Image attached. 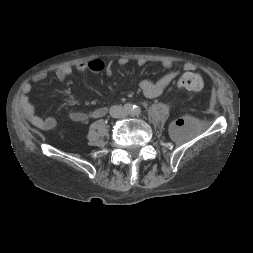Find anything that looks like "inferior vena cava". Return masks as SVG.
Returning a JSON list of instances; mask_svg holds the SVG:
<instances>
[{"mask_svg": "<svg viewBox=\"0 0 253 253\" xmlns=\"http://www.w3.org/2000/svg\"><path fill=\"white\" fill-rule=\"evenodd\" d=\"M117 112H123V108L121 107V106H112L111 108H110V114L112 115V116H115V114L117 113Z\"/></svg>", "mask_w": 253, "mask_h": 253, "instance_id": "inferior-vena-cava-1", "label": "inferior vena cava"}]
</instances>
